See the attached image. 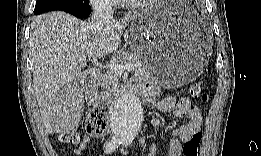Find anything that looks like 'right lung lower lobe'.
I'll return each mask as SVG.
<instances>
[{
  "mask_svg": "<svg viewBox=\"0 0 261 156\" xmlns=\"http://www.w3.org/2000/svg\"><path fill=\"white\" fill-rule=\"evenodd\" d=\"M64 11H66L76 17L85 19L90 15L91 7L89 4H79V5L75 6L74 8L67 9Z\"/></svg>",
  "mask_w": 261,
  "mask_h": 156,
  "instance_id": "98d812e1",
  "label": "right lung lower lobe"
}]
</instances>
